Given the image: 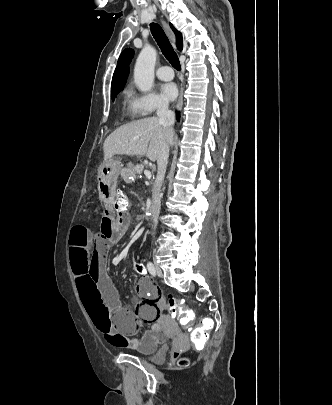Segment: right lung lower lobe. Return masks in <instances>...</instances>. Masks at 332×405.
I'll return each instance as SVG.
<instances>
[{"label": "right lung lower lobe", "instance_id": "obj_1", "mask_svg": "<svg viewBox=\"0 0 332 405\" xmlns=\"http://www.w3.org/2000/svg\"><path fill=\"white\" fill-rule=\"evenodd\" d=\"M176 115H177V119H179V113H178V112H177V114H176Z\"/></svg>", "mask_w": 332, "mask_h": 405}]
</instances>
